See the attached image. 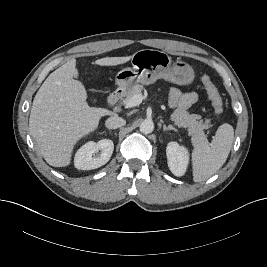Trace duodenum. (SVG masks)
Listing matches in <instances>:
<instances>
[{"mask_svg": "<svg viewBox=\"0 0 267 267\" xmlns=\"http://www.w3.org/2000/svg\"><path fill=\"white\" fill-rule=\"evenodd\" d=\"M124 95V90L119 88L116 89L115 91H113L109 97H108V105L109 106H114L115 104H117L123 97Z\"/></svg>", "mask_w": 267, "mask_h": 267, "instance_id": "duodenum-1", "label": "duodenum"}]
</instances>
